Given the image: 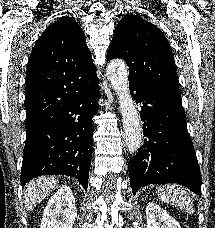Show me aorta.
<instances>
[{
	"label": "aorta",
	"instance_id": "aorta-1",
	"mask_svg": "<svg viewBox=\"0 0 215 228\" xmlns=\"http://www.w3.org/2000/svg\"><path fill=\"white\" fill-rule=\"evenodd\" d=\"M107 76L113 90H115L120 106L125 144L129 152H137L143 138L140 116L134 106L129 90V70L123 60H114L107 66Z\"/></svg>",
	"mask_w": 215,
	"mask_h": 228
}]
</instances>
